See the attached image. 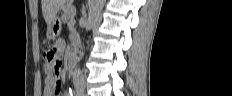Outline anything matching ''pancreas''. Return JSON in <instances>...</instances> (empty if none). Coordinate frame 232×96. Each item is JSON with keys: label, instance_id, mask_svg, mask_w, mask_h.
Segmentation results:
<instances>
[{"label": "pancreas", "instance_id": "obj_1", "mask_svg": "<svg viewBox=\"0 0 232 96\" xmlns=\"http://www.w3.org/2000/svg\"><path fill=\"white\" fill-rule=\"evenodd\" d=\"M75 13H76L75 7H73V6L65 7L63 9V14H62V17H61L62 21L64 23H66L67 21H69L70 19H72L74 17Z\"/></svg>", "mask_w": 232, "mask_h": 96}]
</instances>
